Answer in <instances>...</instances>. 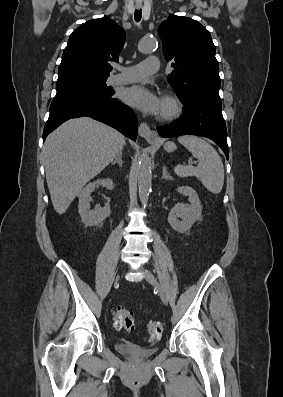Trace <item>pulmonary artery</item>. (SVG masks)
Wrapping results in <instances>:
<instances>
[{"instance_id": "1", "label": "pulmonary artery", "mask_w": 283, "mask_h": 397, "mask_svg": "<svg viewBox=\"0 0 283 397\" xmlns=\"http://www.w3.org/2000/svg\"><path fill=\"white\" fill-rule=\"evenodd\" d=\"M160 67L159 59L150 56L144 61L129 67H118L119 73L109 78L110 84H128L139 81L148 75L155 74Z\"/></svg>"}]
</instances>
